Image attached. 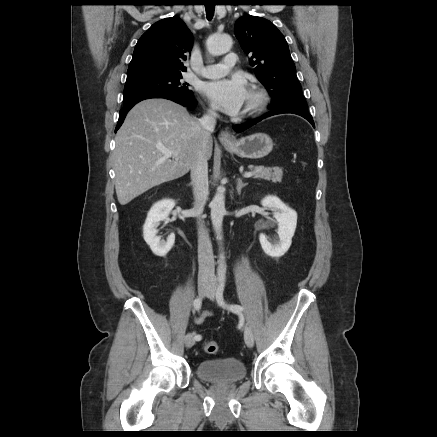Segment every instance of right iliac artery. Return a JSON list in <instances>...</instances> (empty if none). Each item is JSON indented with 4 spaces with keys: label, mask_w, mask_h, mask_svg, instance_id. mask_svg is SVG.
<instances>
[{
    "label": "right iliac artery",
    "mask_w": 437,
    "mask_h": 437,
    "mask_svg": "<svg viewBox=\"0 0 437 437\" xmlns=\"http://www.w3.org/2000/svg\"><path fill=\"white\" fill-rule=\"evenodd\" d=\"M201 305H202V300H201V298H196L195 300H194V302H193V306H194V308L196 309V310H200L201 309ZM201 335H195L194 336V339L196 340V341H200L201 340Z\"/></svg>",
    "instance_id": "obj_1"
}]
</instances>
